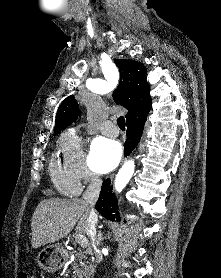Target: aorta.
I'll use <instances>...</instances> for the list:
<instances>
[{"mask_svg": "<svg viewBox=\"0 0 221 278\" xmlns=\"http://www.w3.org/2000/svg\"><path fill=\"white\" fill-rule=\"evenodd\" d=\"M135 164L133 160L126 162L123 167L119 170L115 178V189L118 192H121L124 187L130 181L134 173Z\"/></svg>", "mask_w": 221, "mask_h": 278, "instance_id": "1", "label": "aorta"}]
</instances>
